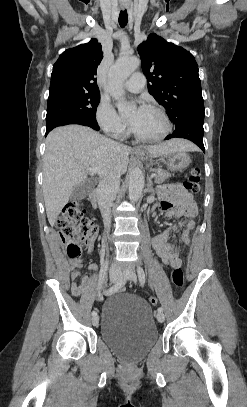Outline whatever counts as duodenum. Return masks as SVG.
<instances>
[{
  "mask_svg": "<svg viewBox=\"0 0 247 407\" xmlns=\"http://www.w3.org/2000/svg\"><path fill=\"white\" fill-rule=\"evenodd\" d=\"M89 201L98 210H102V201L100 197V192L97 189L92 190L89 195Z\"/></svg>",
  "mask_w": 247,
  "mask_h": 407,
  "instance_id": "duodenum-1",
  "label": "duodenum"
}]
</instances>
